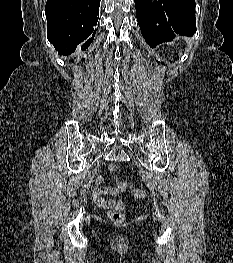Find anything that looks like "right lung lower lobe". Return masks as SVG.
<instances>
[{
  "label": "right lung lower lobe",
  "mask_w": 233,
  "mask_h": 263,
  "mask_svg": "<svg viewBox=\"0 0 233 263\" xmlns=\"http://www.w3.org/2000/svg\"><path fill=\"white\" fill-rule=\"evenodd\" d=\"M100 0H47V38L62 55L80 45L86 50L94 39Z\"/></svg>",
  "instance_id": "98d812e1"
}]
</instances>
